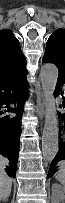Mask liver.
Here are the masks:
<instances>
[{"label": "liver", "mask_w": 65, "mask_h": 203, "mask_svg": "<svg viewBox=\"0 0 65 203\" xmlns=\"http://www.w3.org/2000/svg\"><path fill=\"white\" fill-rule=\"evenodd\" d=\"M9 161L7 158L0 157V200H7L11 193L12 179L3 171L4 166L8 165Z\"/></svg>", "instance_id": "6515ba94"}]
</instances>
